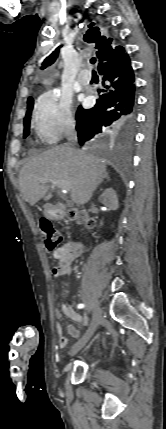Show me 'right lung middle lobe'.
<instances>
[{
    "label": "right lung middle lobe",
    "mask_w": 166,
    "mask_h": 429,
    "mask_svg": "<svg viewBox=\"0 0 166 429\" xmlns=\"http://www.w3.org/2000/svg\"><path fill=\"white\" fill-rule=\"evenodd\" d=\"M33 104H34V100L31 97V99L27 101V113L24 119V135H23L24 138H26L29 135L30 118H31V113L33 109Z\"/></svg>",
    "instance_id": "1"
}]
</instances>
